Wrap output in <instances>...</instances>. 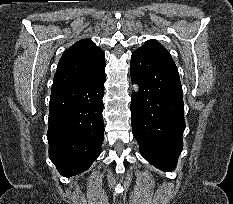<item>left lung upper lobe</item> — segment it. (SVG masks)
Returning <instances> with one entry per match:
<instances>
[{
  "instance_id": "5c2ea615",
  "label": "left lung upper lobe",
  "mask_w": 233,
  "mask_h": 204,
  "mask_svg": "<svg viewBox=\"0 0 233 204\" xmlns=\"http://www.w3.org/2000/svg\"><path fill=\"white\" fill-rule=\"evenodd\" d=\"M140 49H144L150 52H153L155 54L171 58L170 54L168 51L156 40H149L147 41ZM172 59V58H171Z\"/></svg>"
}]
</instances>
